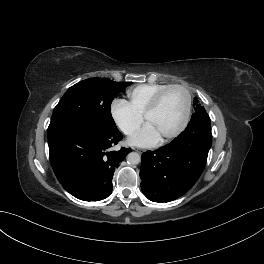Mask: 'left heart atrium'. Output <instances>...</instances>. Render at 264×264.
<instances>
[{"label": "left heart atrium", "mask_w": 264, "mask_h": 264, "mask_svg": "<svg viewBox=\"0 0 264 264\" xmlns=\"http://www.w3.org/2000/svg\"><path fill=\"white\" fill-rule=\"evenodd\" d=\"M161 140V136L155 128L146 123L136 134L128 139L130 145L138 147H152L157 145Z\"/></svg>", "instance_id": "obj_1"}]
</instances>
